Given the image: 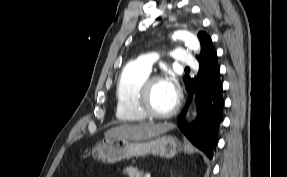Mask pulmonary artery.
Wrapping results in <instances>:
<instances>
[{
    "mask_svg": "<svg viewBox=\"0 0 287 177\" xmlns=\"http://www.w3.org/2000/svg\"><path fill=\"white\" fill-rule=\"evenodd\" d=\"M174 62L177 65H181L184 67H192L197 64L196 59L184 48H175L174 49ZM155 59L152 53H145L139 56L134 62L147 71H151L152 65Z\"/></svg>",
    "mask_w": 287,
    "mask_h": 177,
    "instance_id": "obj_1",
    "label": "pulmonary artery"
}]
</instances>
